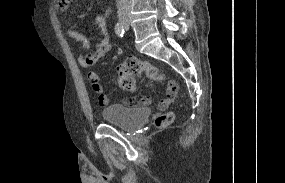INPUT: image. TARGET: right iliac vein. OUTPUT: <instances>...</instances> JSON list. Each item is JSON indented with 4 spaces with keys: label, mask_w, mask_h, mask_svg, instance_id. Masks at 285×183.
<instances>
[{
    "label": "right iliac vein",
    "mask_w": 285,
    "mask_h": 183,
    "mask_svg": "<svg viewBox=\"0 0 285 183\" xmlns=\"http://www.w3.org/2000/svg\"><path fill=\"white\" fill-rule=\"evenodd\" d=\"M121 23H122L123 25H127V24L129 23V19H128V18H122V19H121Z\"/></svg>",
    "instance_id": "right-iliac-vein-1"
}]
</instances>
